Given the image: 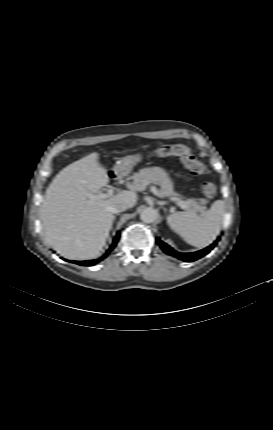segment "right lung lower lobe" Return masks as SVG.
<instances>
[{
    "mask_svg": "<svg viewBox=\"0 0 273 430\" xmlns=\"http://www.w3.org/2000/svg\"><path fill=\"white\" fill-rule=\"evenodd\" d=\"M119 237H120V233L118 232L117 234H116V236H115V238H114V240H113V243H112V245L110 246V248L106 251V253L102 256V257H100L99 259H96V260H89V261H69V262H72V263H76V264H79V265H81V266H92V265H94V264H97L98 262H100L101 260H103L104 258H106L108 255H109V253L114 249V247L117 245V242H118V240H119Z\"/></svg>",
    "mask_w": 273,
    "mask_h": 430,
    "instance_id": "98d812e1",
    "label": "right lung lower lobe"
}]
</instances>
